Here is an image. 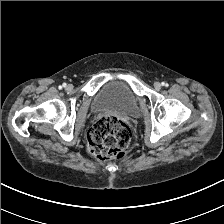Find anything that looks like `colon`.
<instances>
[{
  "label": "colon",
  "mask_w": 224,
  "mask_h": 224,
  "mask_svg": "<svg viewBox=\"0 0 224 224\" xmlns=\"http://www.w3.org/2000/svg\"><path fill=\"white\" fill-rule=\"evenodd\" d=\"M131 140V130L115 116L99 118L88 134V151L98 160H117L124 156Z\"/></svg>",
  "instance_id": "5ec220e1"
}]
</instances>
